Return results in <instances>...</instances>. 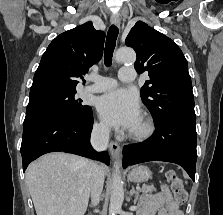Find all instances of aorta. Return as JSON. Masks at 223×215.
Wrapping results in <instances>:
<instances>
[{
  "instance_id": "1",
  "label": "aorta",
  "mask_w": 223,
  "mask_h": 215,
  "mask_svg": "<svg viewBox=\"0 0 223 215\" xmlns=\"http://www.w3.org/2000/svg\"><path fill=\"white\" fill-rule=\"evenodd\" d=\"M136 60V54L132 48H119L115 54V62L117 64H134ZM112 181V191L109 205V215H116L124 199L123 181L121 175H119V161H115Z\"/></svg>"
}]
</instances>
